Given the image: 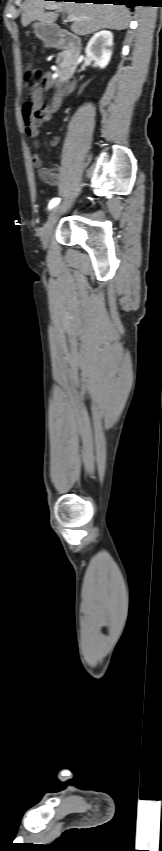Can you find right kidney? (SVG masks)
<instances>
[{"label": "right kidney", "instance_id": "right-kidney-1", "mask_svg": "<svg viewBox=\"0 0 162 851\" xmlns=\"http://www.w3.org/2000/svg\"><path fill=\"white\" fill-rule=\"evenodd\" d=\"M113 35L110 31L97 32L88 42L85 53L88 58L95 61L100 68H105L112 55Z\"/></svg>", "mask_w": 162, "mask_h": 851}]
</instances>
